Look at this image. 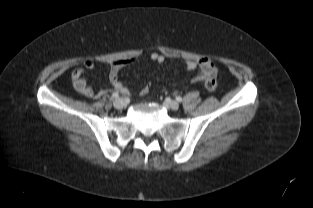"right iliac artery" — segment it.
Here are the masks:
<instances>
[{
	"instance_id": "obj_1",
	"label": "right iliac artery",
	"mask_w": 313,
	"mask_h": 208,
	"mask_svg": "<svg viewBox=\"0 0 313 208\" xmlns=\"http://www.w3.org/2000/svg\"><path fill=\"white\" fill-rule=\"evenodd\" d=\"M112 97L113 98H118L119 97V93L118 92H113L112 93Z\"/></svg>"
}]
</instances>
